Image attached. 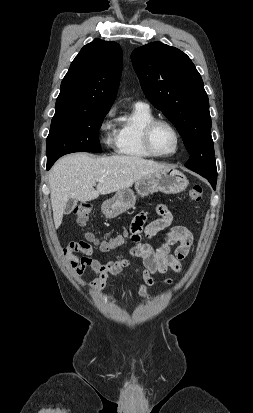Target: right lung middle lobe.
I'll return each mask as SVG.
<instances>
[{
  "label": "right lung middle lobe",
  "instance_id": "right-lung-middle-lobe-1",
  "mask_svg": "<svg viewBox=\"0 0 253 413\" xmlns=\"http://www.w3.org/2000/svg\"><path fill=\"white\" fill-rule=\"evenodd\" d=\"M108 111L53 117L46 140L47 161L73 152H102L98 130Z\"/></svg>",
  "mask_w": 253,
  "mask_h": 413
}]
</instances>
